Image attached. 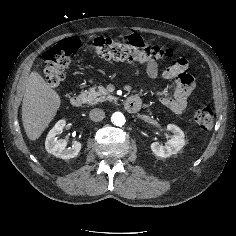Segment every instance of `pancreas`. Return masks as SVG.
<instances>
[{
  "label": "pancreas",
  "mask_w": 236,
  "mask_h": 236,
  "mask_svg": "<svg viewBox=\"0 0 236 236\" xmlns=\"http://www.w3.org/2000/svg\"><path fill=\"white\" fill-rule=\"evenodd\" d=\"M84 101L90 105H95L106 100H112L113 96L103 86L92 87L81 94Z\"/></svg>",
  "instance_id": "1"
}]
</instances>
